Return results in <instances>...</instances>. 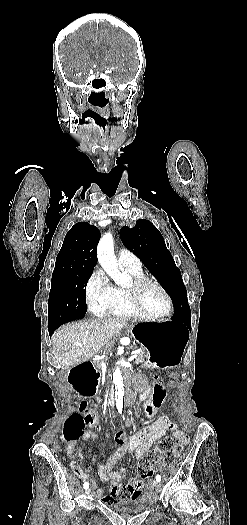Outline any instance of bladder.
Listing matches in <instances>:
<instances>
[{"mask_svg":"<svg viewBox=\"0 0 247 525\" xmlns=\"http://www.w3.org/2000/svg\"><path fill=\"white\" fill-rule=\"evenodd\" d=\"M152 502L147 495L141 494L140 497L126 498L120 501L106 503V507L117 515L133 516L139 515L149 508Z\"/></svg>","mask_w":247,"mask_h":525,"instance_id":"1","label":"bladder"}]
</instances>
